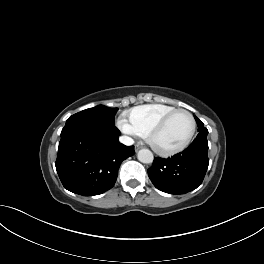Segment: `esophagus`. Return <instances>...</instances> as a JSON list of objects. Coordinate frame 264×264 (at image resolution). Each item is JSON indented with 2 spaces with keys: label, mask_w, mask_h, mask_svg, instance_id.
Listing matches in <instances>:
<instances>
[{
  "label": "esophagus",
  "mask_w": 264,
  "mask_h": 264,
  "mask_svg": "<svg viewBox=\"0 0 264 264\" xmlns=\"http://www.w3.org/2000/svg\"><path fill=\"white\" fill-rule=\"evenodd\" d=\"M140 148H141L140 145H136V146H135V150H136V151H138Z\"/></svg>",
  "instance_id": "esophagus-1"
}]
</instances>
